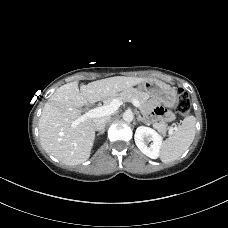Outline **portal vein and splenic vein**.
Here are the masks:
<instances>
[{
	"label": "portal vein and splenic vein",
	"instance_id": "18ae733b",
	"mask_svg": "<svg viewBox=\"0 0 228 228\" xmlns=\"http://www.w3.org/2000/svg\"><path fill=\"white\" fill-rule=\"evenodd\" d=\"M132 104L135 107H139L140 103L138 100H133ZM122 105V102L119 99H113L108 105H104L101 107H97L94 109L89 110L85 114L79 116L77 119L71 122L72 127H76L79 125L81 122H84L88 119L92 118H98V117H103V116H108L113 114L120 106Z\"/></svg>",
	"mask_w": 228,
	"mask_h": 228
}]
</instances>
